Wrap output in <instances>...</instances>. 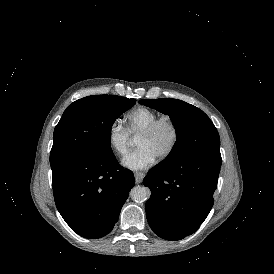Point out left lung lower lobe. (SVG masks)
Here are the masks:
<instances>
[{"label":"left lung lower lobe","mask_w":274,"mask_h":274,"mask_svg":"<svg viewBox=\"0 0 274 274\" xmlns=\"http://www.w3.org/2000/svg\"><path fill=\"white\" fill-rule=\"evenodd\" d=\"M221 163L220 154L202 153L149 170L143 180L152 192L146 216L159 237L180 240L200 227L214 203Z\"/></svg>","instance_id":"left-lung-lower-lobe-1"}]
</instances>
